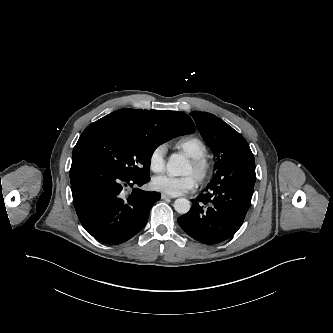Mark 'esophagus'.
Here are the masks:
<instances>
[{
  "label": "esophagus",
  "instance_id": "1",
  "mask_svg": "<svg viewBox=\"0 0 333 333\" xmlns=\"http://www.w3.org/2000/svg\"><path fill=\"white\" fill-rule=\"evenodd\" d=\"M161 199H163V200H169V199H172V197L171 196H169V195H166V194H161Z\"/></svg>",
  "mask_w": 333,
  "mask_h": 333
}]
</instances>
